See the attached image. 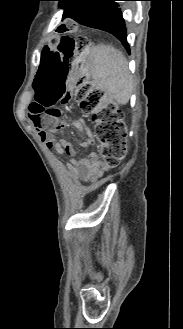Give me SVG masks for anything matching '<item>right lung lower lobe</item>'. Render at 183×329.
Wrapping results in <instances>:
<instances>
[{"label":"right lung lower lobe","mask_w":183,"mask_h":329,"mask_svg":"<svg viewBox=\"0 0 183 329\" xmlns=\"http://www.w3.org/2000/svg\"><path fill=\"white\" fill-rule=\"evenodd\" d=\"M116 1L119 0H61L60 7L65 8L63 18L113 34L129 52L125 22Z\"/></svg>","instance_id":"98d812e1"}]
</instances>
